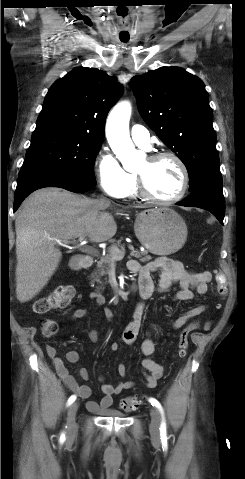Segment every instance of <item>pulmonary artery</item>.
Returning a JSON list of instances; mask_svg holds the SVG:
<instances>
[{"mask_svg":"<svg viewBox=\"0 0 245 479\" xmlns=\"http://www.w3.org/2000/svg\"><path fill=\"white\" fill-rule=\"evenodd\" d=\"M131 138L135 144L140 147L148 148L150 142V133L149 131L141 126V125H134L131 128Z\"/></svg>","mask_w":245,"mask_h":479,"instance_id":"1","label":"pulmonary artery"}]
</instances>
